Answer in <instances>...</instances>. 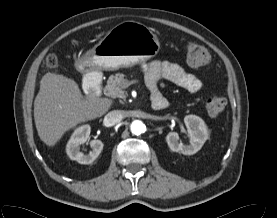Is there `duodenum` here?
I'll list each match as a JSON object with an SVG mask.
<instances>
[{"label":"duodenum","instance_id":"410a0bca","mask_svg":"<svg viewBox=\"0 0 277 218\" xmlns=\"http://www.w3.org/2000/svg\"><path fill=\"white\" fill-rule=\"evenodd\" d=\"M102 76L98 71H92L85 76L84 93L86 97L94 99L100 96L102 89ZM167 106L163 98H158L155 102V110H162Z\"/></svg>","mask_w":277,"mask_h":218}]
</instances>
